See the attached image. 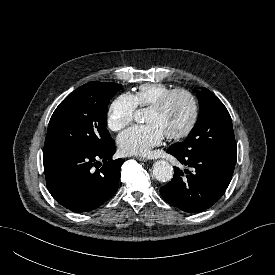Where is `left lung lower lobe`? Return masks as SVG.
<instances>
[{
    "label": "left lung lower lobe",
    "mask_w": 275,
    "mask_h": 275,
    "mask_svg": "<svg viewBox=\"0 0 275 275\" xmlns=\"http://www.w3.org/2000/svg\"><path fill=\"white\" fill-rule=\"evenodd\" d=\"M167 152L193 168L183 173L174 167L173 179L160 189L169 204L196 213L210 208L223 196L231 181L237 154L206 149L180 152L172 146Z\"/></svg>",
    "instance_id": "obj_1"
}]
</instances>
